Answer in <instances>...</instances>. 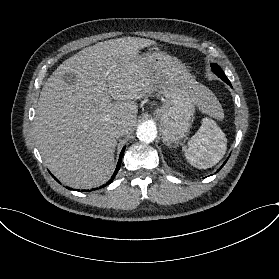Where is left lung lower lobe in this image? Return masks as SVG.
<instances>
[{"mask_svg":"<svg viewBox=\"0 0 279 279\" xmlns=\"http://www.w3.org/2000/svg\"><path fill=\"white\" fill-rule=\"evenodd\" d=\"M230 86H231V85H230ZM225 163H226V162H224V164H225ZM224 164H223V165H224ZM223 165H222V166H223ZM222 166H221V168H222ZM221 168H220V169H221ZM220 169H219V170H220ZM219 170H218V171H219ZM218 171H217V172H218Z\"/></svg>","mask_w":279,"mask_h":279,"instance_id":"obj_1","label":"left lung lower lobe"}]
</instances>
